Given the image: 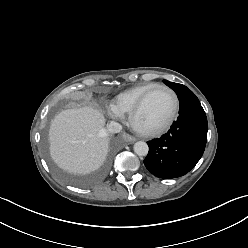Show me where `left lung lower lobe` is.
I'll return each mask as SVG.
<instances>
[{
	"label": "left lung lower lobe",
	"mask_w": 248,
	"mask_h": 248,
	"mask_svg": "<svg viewBox=\"0 0 248 248\" xmlns=\"http://www.w3.org/2000/svg\"><path fill=\"white\" fill-rule=\"evenodd\" d=\"M206 114L197 97L180 101L177 121L159 139L147 142L146 168L159 178H176L188 173L203 155L207 141Z\"/></svg>",
	"instance_id": "0a47b994"
}]
</instances>
